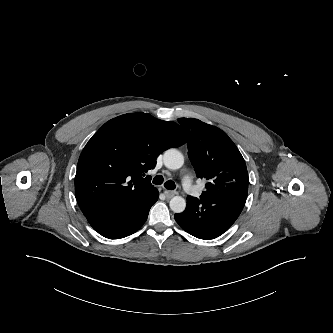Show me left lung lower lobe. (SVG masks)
Returning <instances> with one entry per match:
<instances>
[{
	"instance_id": "left-lung-lower-lobe-1",
	"label": "left lung lower lobe",
	"mask_w": 333,
	"mask_h": 333,
	"mask_svg": "<svg viewBox=\"0 0 333 333\" xmlns=\"http://www.w3.org/2000/svg\"><path fill=\"white\" fill-rule=\"evenodd\" d=\"M248 184L218 189L200 199L187 197L186 209L175 214L176 222L189 234L205 240L227 231L240 215L247 198Z\"/></svg>"
}]
</instances>
